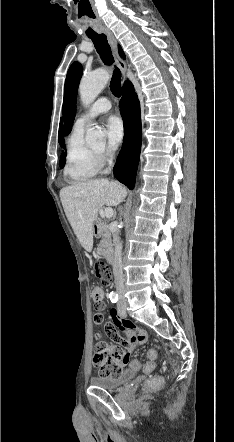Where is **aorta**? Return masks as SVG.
Returning <instances> with one entry per match:
<instances>
[{
  "label": "aorta",
  "mask_w": 234,
  "mask_h": 442,
  "mask_svg": "<svg viewBox=\"0 0 234 442\" xmlns=\"http://www.w3.org/2000/svg\"><path fill=\"white\" fill-rule=\"evenodd\" d=\"M110 74L105 69H98L94 72L84 75L79 85V93L81 101L84 105L91 104L100 92L106 86ZM104 134L98 126H90L86 132V140L93 144L98 140H102Z\"/></svg>",
  "instance_id": "aorta-1"
}]
</instances>
